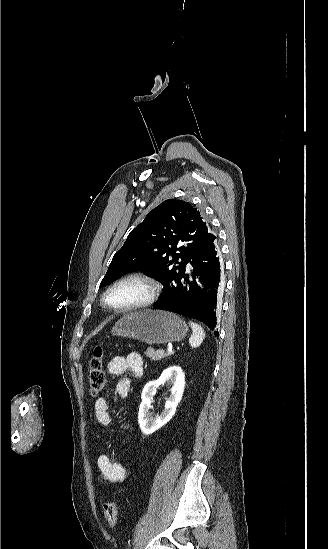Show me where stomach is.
<instances>
[{
	"label": "stomach",
	"mask_w": 328,
	"mask_h": 549,
	"mask_svg": "<svg viewBox=\"0 0 328 549\" xmlns=\"http://www.w3.org/2000/svg\"><path fill=\"white\" fill-rule=\"evenodd\" d=\"M187 331L185 321L175 313L152 311V309H139L134 313H128L112 327V335L137 339L147 345L182 341Z\"/></svg>",
	"instance_id": "0dacf381"
}]
</instances>
